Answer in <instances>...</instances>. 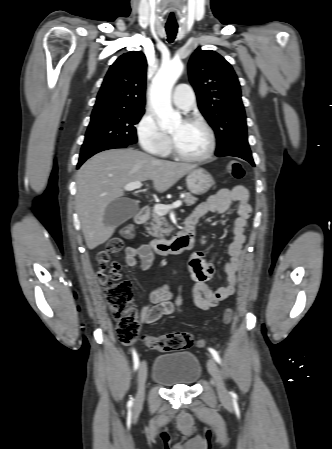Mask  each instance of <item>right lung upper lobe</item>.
<instances>
[{"label": "right lung upper lobe", "mask_w": 332, "mask_h": 449, "mask_svg": "<svg viewBox=\"0 0 332 449\" xmlns=\"http://www.w3.org/2000/svg\"><path fill=\"white\" fill-rule=\"evenodd\" d=\"M147 62L140 51L121 55L109 68L92 114L144 110Z\"/></svg>", "instance_id": "right-lung-upper-lobe-1"}]
</instances>
